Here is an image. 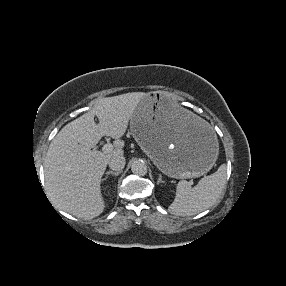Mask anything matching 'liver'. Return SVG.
I'll list each match as a JSON object with an SVG mask.
<instances>
[{"label":"liver","mask_w":286,"mask_h":286,"mask_svg":"<svg viewBox=\"0 0 286 286\" xmlns=\"http://www.w3.org/2000/svg\"><path fill=\"white\" fill-rule=\"evenodd\" d=\"M145 95L133 92L100 98L93 110L65 125L53 138L44 160V175L54 205L86 220L104 211L102 176L109 160L124 154V143L119 139ZM95 116L99 124L95 123ZM103 136L115 139V148L109 153L91 150Z\"/></svg>","instance_id":"1"}]
</instances>
